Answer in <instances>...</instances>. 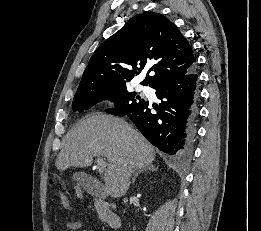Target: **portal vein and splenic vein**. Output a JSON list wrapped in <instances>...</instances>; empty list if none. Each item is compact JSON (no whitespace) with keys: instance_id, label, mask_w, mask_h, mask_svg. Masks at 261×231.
<instances>
[{"instance_id":"18ae733b","label":"portal vein and splenic vein","mask_w":261,"mask_h":231,"mask_svg":"<svg viewBox=\"0 0 261 231\" xmlns=\"http://www.w3.org/2000/svg\"><path fill=\"white\" fill-rule=\"evenodd\" d=\"M106 166H107L106 161L102 157L98 156L97 157V168H98V171L100 173H102L105 170Z\"/></svg>"}]
</instances>
